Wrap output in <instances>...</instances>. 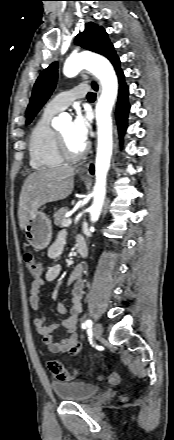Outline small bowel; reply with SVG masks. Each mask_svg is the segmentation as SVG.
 Returning a JSON list of instances; mask_svg holds the SVG:
<instances>
[{
  "mask_svg": "<svg viewBox=\"0 0 174 440\" xmlns=\"http://www.w3.org/2000/svg\"><path fill=\"white\" fill-rule=\"evenodd\" d=\"M77 237L76 239H78ZM66 243V235L64 232L59 233L57 239L49 247L47 255L51 260L57 259L63 252ZM61 272V266L54 264L44 270L42 277L35 279L31 284L29 302L34 311H39L40 291L46 282H52L58 278ZM68 286L71 289V307L69 316L59 322L53 320L50 323L46 322V316L41 314L34 318V325L43 343L47 345L48 350L53 354L68 353L71 356H76L82 350V343L78 335L75 333L79 316L82 312V296L84 292V278L82 266H76L70 274ZM56 312L58 315H66L67 308L65 304L58 303L56 305ZM58 329H63L68 334L67 337L60 341L54 339V332ZM48 369L52 378L57 382H69L71 380L70 373L65 370L62 364L53 360L48 363Z\"/></svg>",
  "mask_w": 174,
  "mask_h": 440,
  "instance_id": "1",
  "label": "small bowel"
}]
</instances>
